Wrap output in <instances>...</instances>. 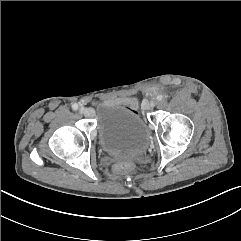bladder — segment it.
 <instances>
[{
	"label": "bladder",
	"mask_w": 241,
	"mask_h": 241,
	"mask_svg": "<svg viewBox=\"0 0 241 241\" xmlns=\"http://www.w3.org/2000/svg\"><path fill=\"white\" fill-rule=\"evenodd\" d=\"M96 130L103 149L116 157H136L149 145L148 129L139 114L116 101L100 105Z\"/></svg>",
	"instance_id": "obj_1"
}]
</instances>
